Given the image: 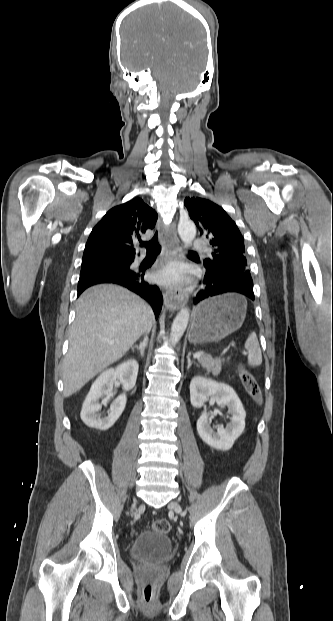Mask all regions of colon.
<instances>
[{
  "label": "colon",
  "instance_id": "1",
  "mask_svg": "<svg viewBox=\"0 0 333 621\" xmlns=\"http://www.w3.org/2000/svg\"><path fill=\"white\" fill-rule=\"evenodd\" d=\"M241 381L249 396L255 400L260 401L261 399V390L260 386L255 379V377L244 367L241 365ZM152 531L166 534L170 530V524L165 519H158L153 522L151 526ZM142 599L146 603H150L153 599V586L151 582H147L142 590Z\"/></svg>",
  "mask_w": 333,
  "mask_h": 621
}]
</instances>
